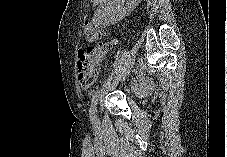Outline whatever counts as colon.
<instances>
[{"instance_id": "5ec220e1", "label": "colon", "mask_w": 227, "mask_h": 157, "mask_svg": "<svg viewBox=\"0 0 227 157\" xmlns=\"http://www.w3.org/2000/svg\"><path fill=\"white\" fill-rule=\"evenodd\" d=\"M103 31L92 23L85 27V38L87 42L93 43L99 40ZM113 42H101L95 46L88 47L79 52L78 56V80L82 87H89L95 81L97 69L106 58Z\"/></svg>"}]
</instances>
